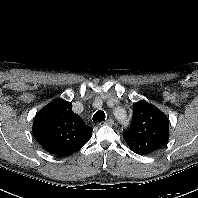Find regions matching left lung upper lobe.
<instances>
[{
    "mask_svg": "<svg viewBox=\"0 0 198 198\" xmlns=\"http://www.w3.org/2000/svg\"><path fill=\"white\" fill-rule=\"evenodd\" d=\"M123 138L132 151L150 154L168 142L169 120L158 108L141 100L133 104L132 123Z\"/></svg>",
    "mask_w": 198,
    "mask_h": 198,
    "instance_id": "obj_1",
    "label": "left lung upper lobe"
}]
</instances>
